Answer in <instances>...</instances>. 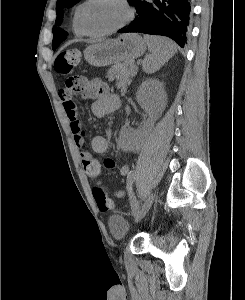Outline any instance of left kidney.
<instances>
[{"label":"left kidney","instance_id":"left-kidney-1","mask_svg":"<svg viewBox=\"0 0 245 300\" xmlns=\"http://www.w3.org/2000/svg\"><path fill=\"white\" fill-rule=\"evenodd\" d=\"M136 100L151 119L155 121L166 106L167 96L164 90V84L157 79H148L144 81L137 93ZM136 131L124 128L120 134V141L124 149H132L139 142Z\"/></svg>","mask_w":245,"mask_h":300}]
</instances>
